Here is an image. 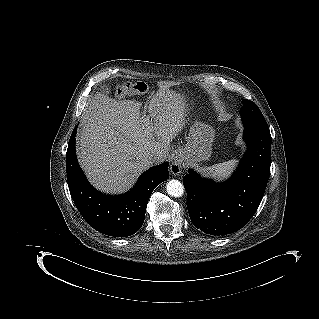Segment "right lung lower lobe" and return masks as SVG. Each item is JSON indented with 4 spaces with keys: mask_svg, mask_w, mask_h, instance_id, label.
Segmentation results:
<instances>
[{
    "mask_svg": "<svg viewBox=\"0 0 319 319\" xmlns=\"http://www.w3.org/2000/svg\"><path fill=\"white\" fill-rule=\"evenodd\" d=\"M74 128L66 154L67 181L72 199L83 218L95 230L113 237L136 233L144 222L149 197L153 190L169 178L168 163L148 169L129 192L106 195L94 189L81 170L75 153Z\"/></svg>",
    "mask_w": 319,
    "mask_h": 319,
    "instance_id": "98d812e1",
    "label": "right lung lower lobe"
}]
</instances>
